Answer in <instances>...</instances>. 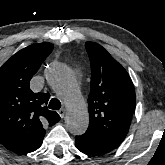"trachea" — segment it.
Returning a JSON list of instances; mask_svg holds the SVG:
<instances>
[{"label":"trachea","mask_w":165,"mask_h":165,"mask_svg":"<svg viewBox=\"0 0 165 165\" xmlns=\"http://www.w3.org/2000/svg\"><path fill=\"white\" fill-rule=\"evenodd\" d=\"M49 108L52 110H59L61 108V102L56 98H52L49 102Z\"/></svg>","instance_id":"1"}]
</instances>
